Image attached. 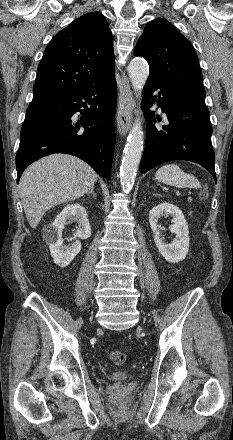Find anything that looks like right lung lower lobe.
<instances>
[{
  "label": "right lung lower lobe",
  "mask_w": 233,
  "mask_h": 440,
  "mask_svg": "<svg viewBox=\"0 0 233 440\" xmlns=\"http://www.w3.org/2000/svg\"><path fill=\"white\" fill-rule=\"evenodd\" d=\"M116 101L115 75L88 88L34 97L21 128L17 183L28 165L52 153L78 156L110 179ZM76 112L82 114L78 121Z\"/></svg>",
  "instance_id": "obj_1"
}]
</instances>
